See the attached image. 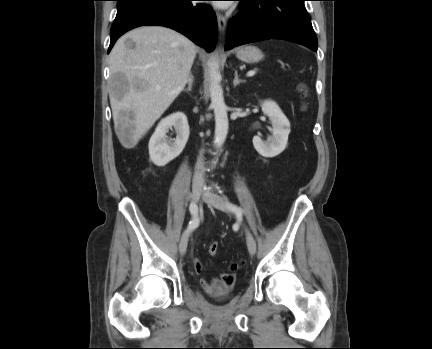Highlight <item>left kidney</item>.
<instances>
[{
    "label": "left kidney",
    "instance_id": "5707ae66",
    "mask_svg": "<svg viewBox=\"0 0 432 349\" xmlns=\"http://www.w3.org/2000/svg\"><path fill=\"white\" fill-rule=\"evenodd\" d=\"M262 111L272 124V136L263 141L259 136L253 137L256 151L263 157L273 158L284 151L290 133V122L276 102L266 100L261 103Z\"/></svg>",
    "mask_w": 432,
    "mask_h": 349
}]
</instances>
